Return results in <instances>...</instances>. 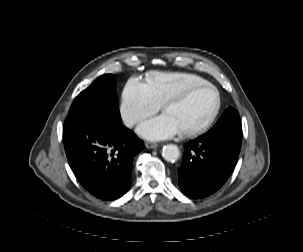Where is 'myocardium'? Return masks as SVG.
Wrapping results in <instances>:
<instances>
[{"label":"myocardium","instance_id":"obj_1","mask_svg":"<svg viewBox=\"0 0 303 252\" xmlns=\"http://www.w3.org/2000/svg\"><path fill=\"white\" fill-rule=\"evenodd\" d=\"M203 87H208L210 89L213 90L214 94H215V106L213 108V111L211 113V115L209 116V118L206 120L205 123H203L202 125L193 128V129H187V130H181L180 134L183 137H191L194 136L198 133H201L205 130H207L214 122V120L216 119L220 107H221V96L220 93L218 91V89L216 88V86L210 82H201L200 84L194 86L193 88L189 89L187 92H185L183 95L176 97V98H172L170 100H168L163 106V110L167 111V109L169 107H171L172 105L175 104H179L182 103L183 101H185L193 92H195L196 90L203 88Z\"/></svg>","mask_w":303,"mask_h":252}]
</instances>
